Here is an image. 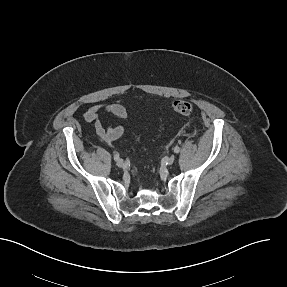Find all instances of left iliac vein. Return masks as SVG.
<instances>
[{
	"label": "left iliac vein",
	"instance_id": "1",
	"mask_svg": "<svg viewBox=\"0 0 287 287\" xmlns=\"http://www.w3.org/2000/svg\"><path fill=\"white\" fill-rule=\"evenodd\" d=\"M175 161V156L171 155L168 159H167V164L168 165H172Z\"/></svg>",
	"mask_w": 287,
	"mask_h": 287
}]
</instances>
